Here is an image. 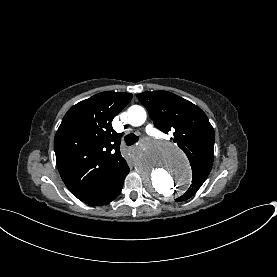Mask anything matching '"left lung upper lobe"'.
I'll list each match as a JSON object with an SVG mask.
<instances>
[{"label": "left lung upper lobe", "instance_id": "1", "mask_svg": "<svg viewBox=\"0 0 277 277\" xmlns=\"http://www.w3.org/2000/svg\"><path fill=\"white\" fill-rule=\"evenodd\" d=\"M147 108L154 125L167 133L174 131L173 141L187 155L192 168V185L176 199L192 197L209 175L214 159V129L206 114L196 105L167 91L137 94Z\"/></svg>", "mask_w": 277, "mask_h": 277}]
</instances>
